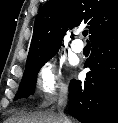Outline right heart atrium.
<instances>
[{"label": "right heart atrium", "instance_id": "obj_1", "mask_svg": "<svg viewBox=\"0 0 118 123\" xmlns=\"http://www.w3.org/2000/svg\"><path fill=\"white\" fill-rule=\"evenodd\" d=\"M36 87L45 102H53L67 89L62 66L54 59L44 62L36 73Z\"/></svg>", "mask_w": 118, "mask_h": 123}]
</instances>
